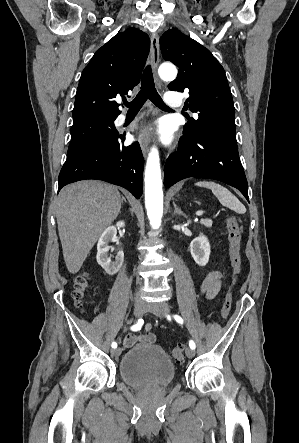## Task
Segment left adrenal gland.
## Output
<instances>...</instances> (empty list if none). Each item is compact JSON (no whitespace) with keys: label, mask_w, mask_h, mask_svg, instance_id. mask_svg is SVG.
<instances>
[{"label":"left adrenal gland","mask_w":299,"mask_h":443,"mask_svg":"<svg viewBox=\"0 0 299 443\" xmlns=\"http://www.w3.org/2000/svg\"><path fill=\"white\" fill-rule=\"evenodd\" d=\"M173 206H174V214H179V215L186 217V215L182 212V210L177 207L175 202H173Z\"/></svg>","instance_id":"1"}]
</instances>
